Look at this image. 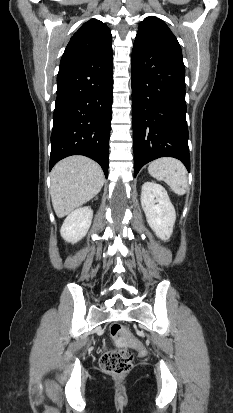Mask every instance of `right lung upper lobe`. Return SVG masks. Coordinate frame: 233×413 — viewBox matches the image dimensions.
<instances>
[{
    "instance_id": "cb5924a9",
    "label": "right lung upper lobe",
    "mask_w": 233,
    "mask_h": 413,
    "mask_svg": "<svg viewBox=\"0 0 233 413\" xmlns=\"http://www.w3.org/2000/svg\"><path fill=\"white\" fill-rule=\"evenodd\" d=\"M111 46L110 29L101 21L90 19L70 39L60 63L92 56Z\"/></svg>"
}]
</instances>
